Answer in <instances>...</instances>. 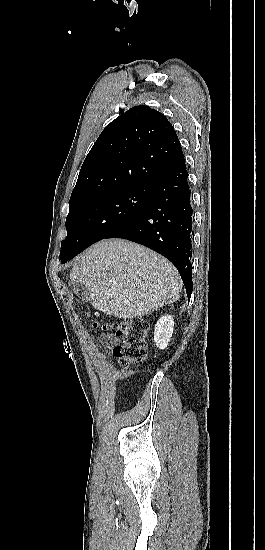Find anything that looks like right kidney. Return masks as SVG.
I'll return each instance as SVG.
<instances>
[{
	"instance_id": "ca27d5eb",
	"label": "right kidney",
	"mask_w": 265,
	"mask_h": 550,
	"mask_svg": "<svg viewBox=\"0 0 265 550\" xmlns=\"http://www.w3.org/2000/svg\"><path fill=\"white\" fill-rule=\"evenodd\" d=\"M174 321L171 315L162 316L155 325L154 341L159 349H165L173 334Z\"/></svg>"
}]
</instances>
